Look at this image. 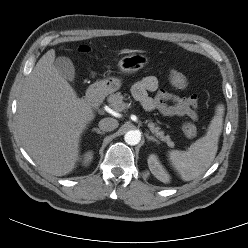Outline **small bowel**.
Segmentation results:
<instances>
[{
  "mask_svg": "<svg viewBox=\"0 0 248 248\" xmlns=\"http://www.w3.org/2000/svg\"><path fill=\"white\" fill-rule=\"evenodd\" d=\"M157 91L154 97L150 92ZM134 97L148 110H157L164 116L197 119V96H178L165 90H158V80L155 76H145L132 87Z\"/></svg>",
  "mask_w": 248,
  "mask_h": 248,
  "instance_id": "obj_1",
  "label": "small bowel"
}]
</instances>
